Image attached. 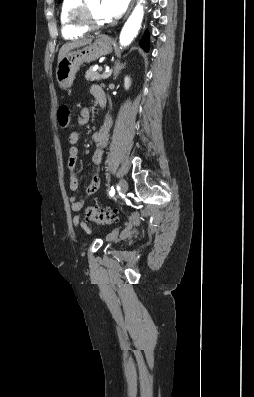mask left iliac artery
I'll return each instance as SVG.
<instances>
[{
  "label": "left iliac artery",
  "mask_w": 254,
  "mask_h": 397,
  "mask_svg": "<svg viewBox=\"0 0 254 397\" xmlns=\"http://www.w3.org/2000/svg\"><path fill=\"white\" fill-rule=\"evenodd\" d=\"M114 194H115V190H114L113 187H111V189H110V191H109V195H110V196H114Z\"/></svg>",
  "instance_id": "obj_1"
}]
</instances>
